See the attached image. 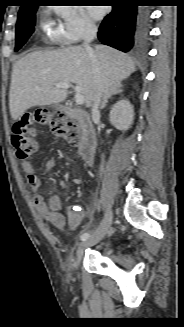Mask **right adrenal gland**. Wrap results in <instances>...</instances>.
Returning <instances> with one entry per match:
<instances>
[{"label": "right adrenal gland", "mask_w": 184, "mask_h": 327, "mask_svg": "<svg viewBox=\"0 0 184 327\" xmlns=\"http://www.w3.org/2000/svg\"><path fill=\"white\" fill-rule=\"evenodd\" d=\"M122 92V84H117L107 89L104 93L100 109H104L108 103V100L111 99L114 95L121 94Z\"/></svg>", "instance_id": "2a0ac1e0"}]
</instances>
